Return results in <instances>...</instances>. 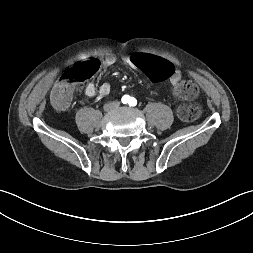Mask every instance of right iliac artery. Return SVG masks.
Listing matches in <instances>:
<instances>
[{
  "label": "right iliac artery",
  "instance_id": "right-iliac-artery-1",
  "mask_svg": "<svg viewBox=\"0 0 253 253\" xmlns=\"http://www.w3.org/2000/svg\"><path fill=\"white\" fill-rule=\"evenodd\" d=\"M122 102H123L124 104H126L127 102H129V96H128V95H124V96L122 97Z\"/></svg>",
  "mask_w": 253,
  "mask_h": 253
}]
</instances>
